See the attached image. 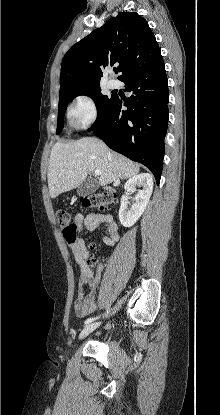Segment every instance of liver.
Here are the masks:
<instances>
[{
	"instance_id": "obj_1",
	"label": "liver",
	"mask_w": 220,
	"mask_h": 415,
	"mask_svg": "<svg viewBox=\"0 0 220 415\" xmlns=\"http://www.w3.org/2000/svg\"><path fill=\"white\" fill-rule=\"evenodd\" d=\"M100 170L99 185L139 173V165L111 151L104 142L84 137L74 142H57L51 151L48 167V188L51 198L80 186L87 175Z\"/></svg>"
}]
</instances>
